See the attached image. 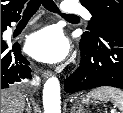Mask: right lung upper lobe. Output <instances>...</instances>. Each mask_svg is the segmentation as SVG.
<instances>
[{"label": "right lung upper lobe", "mask_w": 123, "mask_h": 113, "mask_svg": "<svg viewBox=\"0 0 123 113\" xmlns=\"http://www.w3.org/2000/svg\"><path fill=\"white\" fill-rule=\"evenodd\" d=\"M25 2L27 0H1V18L20 16Z\"/></svg>", "instance_id": "right-lung-upper-lobe-1"}]
</instances>
